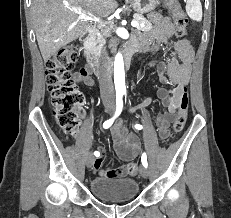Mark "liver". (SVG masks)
<instances>
[{
  "label": "liver",
  "instance_id": "1",
  "mask_svg": "<svg viewBox=\"0 0 231 218\" xmlns=\"http://www.w3.org/2000/svg\"><path fill=\"white\" fill-rule=\"evenodd\" d=\"M106 17L118 7L116 0H32L31 15L38 46L47 62L59 49L85 35L89 20L72 11Z\"/></svg>",
  "mask_w": 231,
  "mask_h": 218
}]
</instances>
